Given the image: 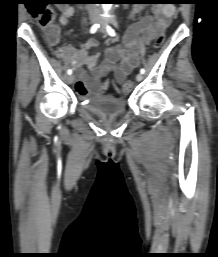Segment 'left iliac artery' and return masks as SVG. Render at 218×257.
Wrapping results in <instances>:
<instances>
[{
    "label": "left iliac artery",
    "mask_w": 218,
    "mask_h": 257,
    "mask_svg": "<svg viewBox=\"0 0 218 257\" xmlns=\"http://www.w3.org/2000/svg\"><path fill=\"white\" fill-rule=\"evenodd\" d=\"M107 32H108V34L110 35V36H116V32H115V30L112 28V27H110L109 25L107 26ZM140 73H142V74H144L145 73V70L142 68L141 70H140Z\"/></svg>",
    "instance_id": "1"
}]
</instances>
